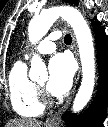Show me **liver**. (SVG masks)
Masks as SVG:
<instances>
[{
  "mask_svg": "<svg viewBox=\"0 0 108 127\" xmlns=\"http://www.w3.org/2000/svg\"><path fill=\"white\" fill-rule=\"evenodd\" d=\"M42 122L36 119L16 118L8 121L5 127H41Z\"/></svg>",
  "mask_w": 108,
  "mask_h": 127,
  "instance_id": "liver-1",
  "label": "liver"
}]
</instances>
